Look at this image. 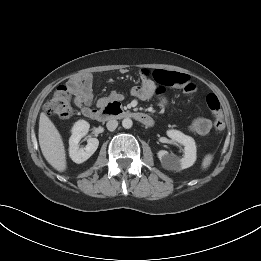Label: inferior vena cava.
Returning a JSON list of instances; mask_svg holds the SVG:
<instances>
[{"mask_svg":"<svg viewBox=\"0 0 261 261\" xmlns=\"http://www.w3.org/2000/svg\"><path fill=\"white\" fill-rule=\"evenodd\" d=\"M118 126V122L115 119H110L107 124L106 127L109 131H114Z\"/></svg>","mask_w":261,"mask_h":261,"instance_id":"obj_1","label":"inferior vena cava"}]
</instances>
